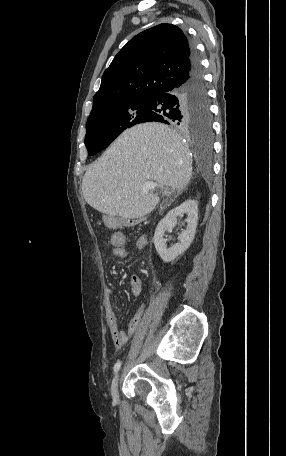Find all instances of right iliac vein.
<instances>
[{"label":"right iliac vein","mask_w":286,"mask_h":456,"mask_svg":"<svg viewBox=\"0 0 286 456\" xmlns=\"http://www.w3.org/2000/svg\"><path fill=\"white\" fill-rule=\"evenodd\" d=\"M118 383H119V374H117L113 381H112V385H111V395H112V398L117 401L118 400Z\"/></svg>","instance_id":"63e3f726"}]
</instances>
